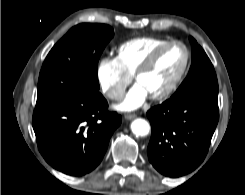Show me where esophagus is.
<instances>
[{
    "label": "esophagus",
    "instance_id": "esophagus-1",
    "mask_svg": "<svg viewBox=\"0 0 245 195\" xmlns=\"http://www.w3.org/2000/svg\"><path fill=\"white\" fill-rule=\"evenodd\" d=\"M124 117L127 120H131V119H134L136 117V114H125Z\"/></svg>",
    "mask_w": 245,
    "mask_h": 195
}]
</instances>
